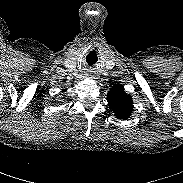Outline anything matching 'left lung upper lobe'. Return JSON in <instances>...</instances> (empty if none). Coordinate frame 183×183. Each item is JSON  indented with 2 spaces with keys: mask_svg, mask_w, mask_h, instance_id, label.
<instances>
[{
  "mask_svg": "<svg viewBox=\"0 0 183 183\" xmlns=\"http://www.w3.org/2000/svg\"><path fill=\"white\" fill-rule=\"evenodd\" d=\"M108 106L118 119H127L133 111L131 95L125 93L122 86H114L107 94Z\"/></svg>",
  "mask_w": 183,
  "mask_h": 183,
  "instance_id": "5c2ea615",
  "label": "left lung upper lobe"
}]
</instances>
